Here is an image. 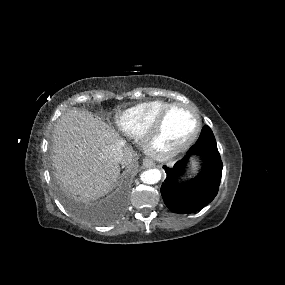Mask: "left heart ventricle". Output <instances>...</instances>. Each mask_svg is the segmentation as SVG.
Here are the masks:
<instances>
[{
	"label": "left heart ventricle",
	"mask_w": 285,
	"mask_h": 285,
	"mask_svg": "<svg viewBox=\"0 0 285 285\" xmlns=\"http://www.w3.org/2000/svg\"><path fill=\"white\" fill-rule=\"evenodd\" d=\"M195 127V115L186 108L178 107L166 118L155 146L161 150L176 147L192 135Z\"/></svg>",
	"instance_id": "b2bd125f"
}]
</instances>
